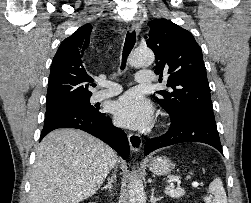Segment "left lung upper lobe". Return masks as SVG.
<instances>
[{"label":"left lung upper lobe","instance_id":"1","mask_svg":"<svg viewBox=\"0 0 251 203\" xmlns=\"http://www.w3.org/2000/svg\"><path fill=\"white\" fill-rule=\"evenodd\" d=\"M147 46L156 58L155 73L167 79L169 90L157 91L155 100L176 120L190 113L214 119L202 50L193 35L166 19L148 23Z\"/></svg>","mask_w":251,"mask_h":203}]
</instances>
